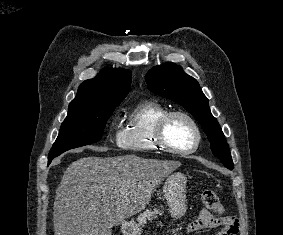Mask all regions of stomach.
<instances>
[{"instance_id": "0dacf381", "label": "stomach", "mask_w": 283, "mask_h": 235, "mask_svg": "<svg viewBox=\"0 0 283 235\" xmlns=\"http://www.w3.org/2000/svg\"><path fill=\"white\" fill-rule=\"evenodd\" d=\"M186 184L187 177L181 172H175L166 176L163 185L164 197L167 201L169 212L174 218H180L186 212ZM123 235H141L142 229L133 221L122 224Z\"/></svg>"}]
</instances>
